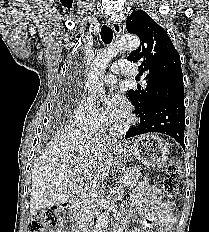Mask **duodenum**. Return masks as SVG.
I'll return each instance as SVG.
<instances>
[{
	"label": "duodenum",
	"mask_w": 209,
	"mask_h": 232,
	"mask_svg": "<svg viewBox=\"0 0 209 232\" xmlns=\"http://www.w3.org/2000/svg\"><path fill=\"white\" fill-rule=\"evenodd\" d=\"M78 206V199H71L63 209L62 222L59 232H79L75 212ZM113 232H121V224H118Z\"/></svg>",
	"instance_id": "1"
}]
</instances>
